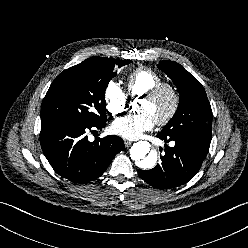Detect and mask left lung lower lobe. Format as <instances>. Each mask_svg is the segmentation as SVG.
Segmentation results:
<instances>
[{
    "mask_svg": "<svg viewBox=\"0 0 248 248\" xmlns=\"http://www.w3.org/2000/svg\"><path fill=\"white\" fill-rule=\"evenodd\" d=\"M165 142L174 141L175 146H166L161 164L153 169L138 170V175L145 182L159 189H168L185 184L199 171L208 151L210 142L198 141L180 135H157Z\"/></svg>",
    "mask_w": 248,
    "mask_h": 248,
    "instance_id": "0a47b994",
    "label": "left lung lower lobe"
}]
</instances>
